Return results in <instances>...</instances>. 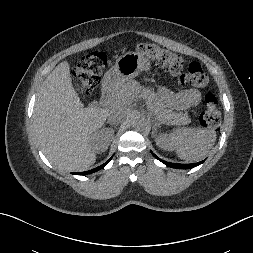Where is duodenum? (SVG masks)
<instances>
[{
  "label": "duodenum",
  "instance_id": "obj_1",
  "mask_svg": "<svg viewBox=\"0 0 253 253\" xmlns=\"http://www.w3.org/2000/svg\"><path fill=\"white\" fill-rule=\"evenodd\" d=\"M113 95H114V79L110 77L103 82L101 104L104 107H111L113 105Z\"/></svg>",
  "mask_w": 253,
  "mask_h": 253
}]
</instances>
